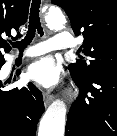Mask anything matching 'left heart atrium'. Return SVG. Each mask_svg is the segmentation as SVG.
Here are the masks:
<instances>
[{
    "mask_svg": "<svg viewBox=\"0 0 117 136\" xmlns=\"http://www.w3.org/2000/svg\"><path fill=\"white\" fill-rule=\"evenodd\" d=\"M28 76L36 83L50 88L60 83L62 69L52 58L45 57L29 66Z\"/></svg>",
    "mask_w": 117,
    "mask_h": 136,
    "instance_id": "left-heart-atrium-1",
    "label": "left heart atrium"
}]
</instances>
